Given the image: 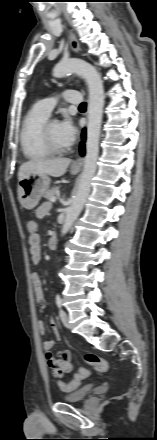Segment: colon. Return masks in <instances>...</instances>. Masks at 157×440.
Masks as SVG:
<instances>
[{
    "mask_svg": "<svg viewBox=\"0 0 157 440\" xmlns=\"http://www.w3.org/2000/svg\"><path fill=\"white\" fill-rule=\"evenodd\" d=\"M26 228L29 235H35L38 233V225L34 220H28L26 223ZM85 363L95 369L99 373H104L107 370V363L102 358L95 356L94 354L88 353L84 356ZM89 374L88 368H81L74 376V378L68 382H59V386L61 389L65 391H70L75 389L81 382Z\"/></svg>",
    "mask_w": 157,
    "mask_h": 440,
    "instance_id": "5ec220e1",
    "label": "colon"
}]
</instances>
